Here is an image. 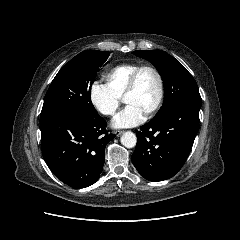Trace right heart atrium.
I'll return each mask as SVG.
<instances>
[{
	"mask_svg": "<svg viewBox=\"0 0 240 240\" xmlns=\"http://www.w3.org/2000/svg\"><path fill=\"white\" fill-rule=\"evenodd\" d=\"M92 106L102 115L112 116L121 104V97L104 82L95 80L89 86Z\"/></svg>",
	"mask_w": 240,
	"mask_h": 240,
	"instance_id": "obj_1",
	"label": "right heart atrium"
}]
</instances>
